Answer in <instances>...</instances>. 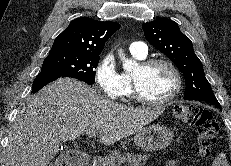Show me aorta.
<instances>
[{
	"instance_id": "obj_1",
	"label": "aorta",
	"mask_w": 231,
	"mask_h": 166,
	"mask_svg": "<svg viewBox=\"0 0 231 166\" xmlns=\"http://www.w3.org/2000/svg\"><path fill=\"white\" fill-rule=\"evenodd\" d=\"M119 57L123 64V69L125 72L130 73L138 67V64L135 60L125 57L124 52L120 49L118 51Z\"/></svg>"
}]
</instances>
